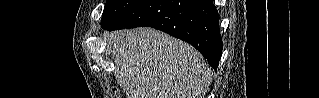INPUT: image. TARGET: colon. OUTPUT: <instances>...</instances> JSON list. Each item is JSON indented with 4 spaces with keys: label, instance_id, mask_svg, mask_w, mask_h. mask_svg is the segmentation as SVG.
I'll return each mask as SVG.
<instances>
[{
    "label": "colon",
    "instance_id": "colon-1",
    "mask_svg": "<svg viewBox=\"0 0 319 98\" xmlns=\"http://www.w3.org/2000/svg\"><path fill=\"white\" fill-rule=\"evenodd\" d=\"M114 94H115V96H117V97H118V93H117V92H114Z\"/></svg>",
    "mask_w": 319,
    "mask_h": 98
}]
</instances>
